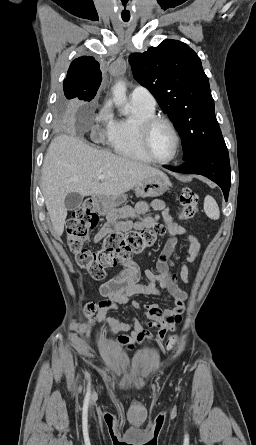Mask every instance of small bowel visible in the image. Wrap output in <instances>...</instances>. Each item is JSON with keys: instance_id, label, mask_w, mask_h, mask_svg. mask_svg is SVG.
<instances>
[{"instance_id": "small-bowel-1", "label": "small bowel", "mask_w": 256, "mask_h": 445, "mask_svg": "<svg viewBox=\"0 0 256 445\" xmlns=\"http://www.w3.org/2000/svg\"><path fill=\"white\" fill-rule=\"evenodd\" d=\"M149 207L161 212L169 233V238L156 262L157 273L147 271L144 278L141 279L137 264L129 259L121 261L124 270L119 275L107 280L100 286V292L104 296V300L100 303L97 319L100 322L107 323L113 333L129 332V335L118 337V343L129 350H132L135 345L152 339V334L144 328L145 326L149 328L158 327L157 338L162 339L167 330L173 329L180 321L188 294L178 286L177 276L173 273L172 267L178 261H181L179 277L184 283H189V265L196 261L200 251L198 239L187 228L172 221L166 204L162 200H153L150 205L139 203L134 214L143 213ZM156 221V217L148 216L139 220L136 226L149 228L154 226ZM133 226L134 223L131 220L108 222L94 235L93 243L98 244L109 233L114 231L125 232ZM178 237L184 238L188 244V250L181 258H174L173 254L178 245ZM135 295L164 296L172 301L174 306L166 308L158 304L146 303L142 307L146 318L144 322L136 318L125 322L117 317H107V312L114 304L135 309L141 308L137 301L130 302V298Z\"/></svg>"}]
</instances>
